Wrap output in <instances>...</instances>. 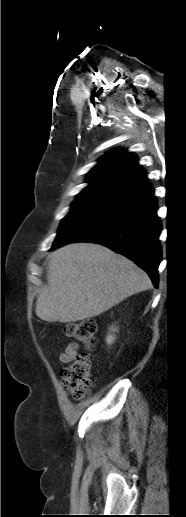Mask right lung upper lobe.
I'll list each match as a JSON object with an SVG mask.
<instances>
[{
	"mask_svg": "<svg viewBox=\"0 0 186 517\" xmlns=\"http://www.w3.org/2000/svg\"><path fill=\"white\" fill-rule=\"evenodd\" d=\"M86 181L90 184L77 197L115 202L150 186L135 155L122 148L113 149L103 156L89 172Z\"/></svg>",
	"mask_w": 186,
	"mask_h": 517,
	"instance_id": "obj_1",
	"label": "right lung upper lobe"
}]
</instances>
